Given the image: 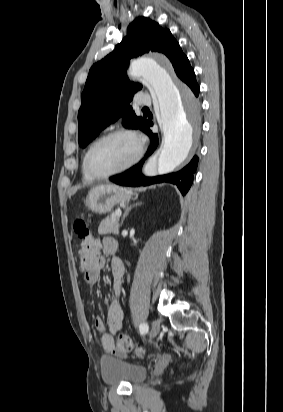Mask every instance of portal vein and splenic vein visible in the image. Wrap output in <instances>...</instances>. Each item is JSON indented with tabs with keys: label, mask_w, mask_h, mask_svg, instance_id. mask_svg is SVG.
<instances>
[{
	"label": "portal vein and splenic vein",
	"mask_w": 283,
	"mask_h": 412,
	"mask_svg": "<svg viewBox=\"0 0 283 412\" xmlns=\"http://www.w3.org/2000/svg\"><path fill=\"white\" fill-rule=\"evenodd\" d=\"M116 215L118 216V217H120L121 216V210H116Z\"/></svg>",
	"instance_id": "18ae733b"
}]
</instances>
